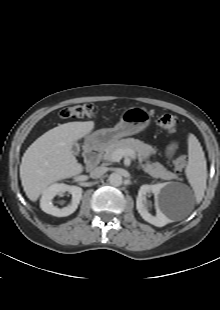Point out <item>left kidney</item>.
Masks as SVG:
<instances>
[{
    "mask_svg": "<svg viewBox=\"0 0 220 310\" xmlns=\"http://www.w3.org/2000/svg\"><path fill=\"white\" fill-rule=\"evenodd\" d=\"M166 186V183L142 185L136 199V207L142 218L157 227H162L169 221L166 215V209L170 204V196L167 194L168 189L164 190ZM149 193H153L155 196L156 216L151 215L147 209L146 196Z\"/></svg>",
    "mask_w": 220,
    "mask_h": 310,
    "instance_id": "left-kidney-1",
    "label": "left kidney"
}]
</instances>
